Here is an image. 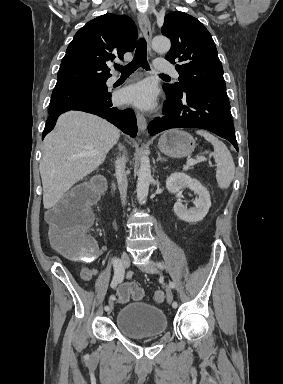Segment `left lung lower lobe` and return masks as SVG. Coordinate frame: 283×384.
Masks as SVG:
<instances>
[{
    "mask_svg": "<svg viewBox=\"0 0 283 384\" xmlns=\"http://www.w3.org/2000/svg\"><path fill=\"white\" fill-rule=\"evenodd\" d=\"M165 92L163 116L148 125L151 135L171 128H201L229 140L238 150L226 89L187 85L180 92Z\"/></svg>",
    "mask_w": 283,
    "mask_h": 384,
    "instance_id": "left-lung-lower-lobe-1",
    "label": "left lung lower lobe"
}]
</instances>
